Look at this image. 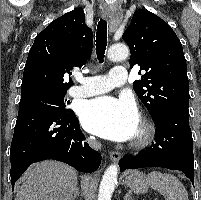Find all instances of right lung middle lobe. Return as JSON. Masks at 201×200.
Listing matches in <instances>:
<instances>
[{
    "label": "right lung middle lobe",
    "mask_w": 201,
    "mask_h": 200,
    "mask_svg": "<svg viewBox=\"0 0 201 200\" xmlns=\"http://www.w3.org/2000/svg\"><path fill=\"white\" fill-rule=\"evenodd\" d=\"M66 92H37L21 95L19 112L35 107H50L60 112L65 109L64 96Z\"/></svg>",
    "instance_id": "right-lung-middle-lobe-1"
}]
</instances>
